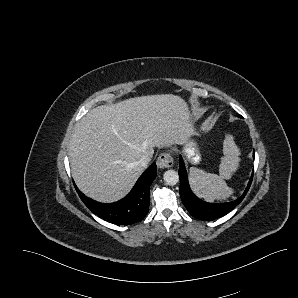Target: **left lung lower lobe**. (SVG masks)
<instances>
[{
	"label": "left lung lower lobe",
	"mask_w": 298,
	"mask_h": 298,
	"mask_svg": "<svg viewBox=\"0 0 298 298\" xmlns=\"http://www.w3.org/2000/svg\"><path fill=\"white\" fill-rule=\"evenodd\" d=\"M179 164H180V169L178 173L180 178L181 200L184 206L186 207V209L188 210V212L193 217L203 221H211V220L220 218L226 215L227 213H229L231 210H233L245 197L253 179V173H252L248 186L245 189L243 195L238 199H236L235 201L226 202V203H207L205 201H202L192 193L188 184L186 169L181 157L179 160Z\"/></svg>",
	"instance_id": "left-lung-lower-lobe-1"
}]
</instances>
